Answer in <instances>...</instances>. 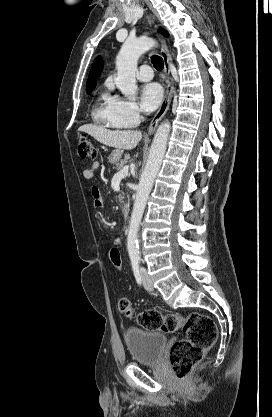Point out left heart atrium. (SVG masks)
<instances>
[{"mask_svg":"<svg viewBox=\"0 0 272 417\" xmlns=\"http://www.w3.org/2000/svg\"><path fill=\"white\" fill-rule=\"evenodd\" d=\"M163 89L157 83H148L141 90V104L145 111H154L162 102Z\"/></svg>","mask_w":272,"mask_h":417,"instance_id":"39dd6f15","label":"left heart atrium"}]
</instances>
